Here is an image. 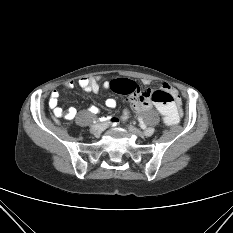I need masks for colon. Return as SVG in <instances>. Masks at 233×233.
<instances>
[{
	"mask_svg": "<svg viewBox=\"0 0 233 233\" xmlns=\"http://www.w3.org/2000/svg\"><path fill=\"white\" fill-rule=\"evenodd\" d=\"M111 89L118 94H128L132 99L155 103L166 126L171 127L179 122V112L174 103L172 95L164 89H142L134 81L128 79H116L111 82ZM129 115L128 111L124 113V119Z\"/></svg>",
	"mask_w": 233,
	"mask_h": 233,
	"instance_id": "obj_1",
	"label": "colon"
}]
</instances>
